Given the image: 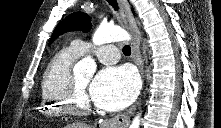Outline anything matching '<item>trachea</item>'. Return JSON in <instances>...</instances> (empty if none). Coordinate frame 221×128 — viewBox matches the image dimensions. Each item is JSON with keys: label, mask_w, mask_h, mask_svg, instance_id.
I'll list each match as a JSON object with an SVG mask.
<instances>
[{"label": "trachea", "mask_w": 221, "mask_h": 128, "mask_svg": "<svg viewBox=\"0 0 221 128\" xmlns=\"http://www.w3.org/2000/svg\"><path fill=\"white\" fill-rule=\"evenodd\" d=\"M107 2H108L116 11L119 9L116 0H107ZM123 53H124L125 55H130V53H131V48H130L129 45H125V46L123 47Z\"/></svg>", "instance_id": "trachea-1"}]
</instances>
